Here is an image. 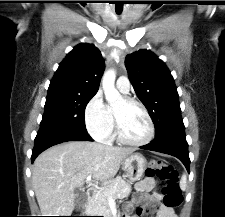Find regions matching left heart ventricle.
<instances>
[{
	"label": "left heart ventricle",
	"mask_w": 225,
	"mask_h": 217,
	"mask_svg": "<svg viewBox=\"0 0 225 217\" xmlns=\"http://www.w3.org/2000/svg\"><path fill=\"white\" fill-rule=\"evenodd\" d=\"M117 114L124 136L131 141H141L148 134V122L142 110L123 99L113 107Z\"/></svg>",
	"instance_id": "b2bd125f"
}]
</instances>
